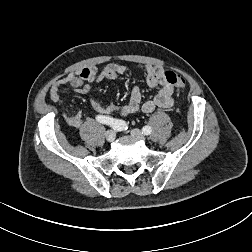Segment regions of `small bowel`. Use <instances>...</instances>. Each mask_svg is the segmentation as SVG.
<instances>
[{"label": "small bowel", "instance_id": "1", "mask_svg": "<svg viewBox=\"0 0 252 252\" xmlns=\"http://www.w3.org/2000/svg\"><path fill=\"white\" fill-rule=\"evenodd\" d=\"M128 69L125 65L118 63L108 64L101 72L95 67L83 68L75 73H70L66 77L55 82L49 91L50 100L56 103H63L61 89L65 85L72 87V92L84 95L88 98L90 106L101 116L111 114L106 106L91 95L92 85L103 80H113L119 76L125 75ZM162 67L154 65L145 66L146 83L150 88H157L158 91L154 97L142 102L141 89L135 85L131 91L128 103L136 104L138 110L144 113H151L156 108H170L174 104V88L169 84L164 76ZM125 116V115H122ZM65 121L73 126L79 127L83 123L82 112L72 115H64Z\"/></svg>", "mask_w": 252, "mask_h": 252}]
</instances>
